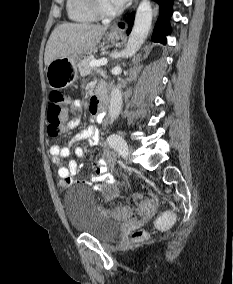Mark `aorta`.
<instances>
[{
	"label": "aorta",
	"instance_id": "1",
	"mask_svg": "<svg viewBox=\"0 0 233 284\" xmlns=\"http://www.w3.org/2000/svg\"><path fill=\"white\" fill-rule=\"evenodd\" d=\"M152 24V8L150 0H141L135 17V23L130 33L124 55L132 57L144 43ZM122 94L119 88L114 87L110 95L108 115L115 120L122 109Z\"/></svg>",
	"mask_w": 233,
	"mask_h": 284
}]
</instances>
